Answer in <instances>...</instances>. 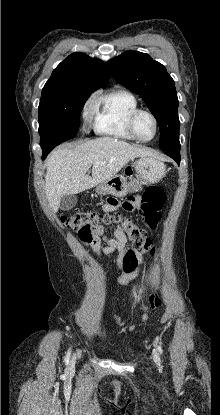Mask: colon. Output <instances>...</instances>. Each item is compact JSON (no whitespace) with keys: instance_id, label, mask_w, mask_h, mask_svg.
Listing matches in <instances>:
<instances>
[{"instance_id":"colon-1","label":"colon","mask_w":220,"mask_h":415,"mask_svg":"<svg viewBox=\"0 0 220 415\" xmlns=\"http://www.w3.org/2000/svg\"><path fill=\"white\" fill-rule=\"evenodd\" d=\"M164 204V194L158 187H148L144 194L141 205V214L145 226L156 229L161 220V208ZM129 201L122 202V208L130 207ZM62 225L70 230L89 234L94 229L116 224L120 226L128 236L133 249L128 250L123 258L126 272H132L137 266V253L141 255H154L155 246L147 236L144 228L139 226L130 218L124 217L116 212L99 211H76L71 215H63L60 218ZM150 305L158 306L159 299L154 295L149 298Z\"/></svg>"}]
</instances>
